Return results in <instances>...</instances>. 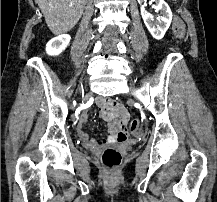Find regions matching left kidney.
I'll return each mask as SVG.
<instances>
[{
	"label": "left kidney",
	"mask_w": 217,
	"mask_h": 202,
	"mask_svg": "<svg viewBox=\"0 0 217 202\" xmlns=\"http://www.w3.org/2000/svg\"><path fill=\"white\" fill-rule=\"evenodd\" d=\"M138 2L142 4L145 0H138ZM154 8L157 12H161V16L158 18L159 22H155L154 16H152L150 12H147L145 6H141V16L151 36H153L155 40H162L172 22V12L164 0H158V4L154 6Z\"/></svg>",
	"instance_id": "obj_1"
}]
</instances>
